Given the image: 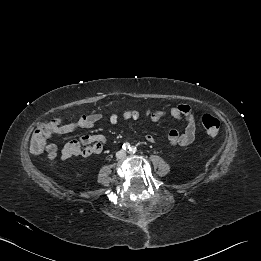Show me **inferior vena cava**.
Here are the masks:
<instances>
[{"label":"inferior vena cava","mask_w":261,"mask_h":261,"mask_svg":"<svg viewBox=\"0 0 261 261\" xmlns=\"http://www.w3.org/2000/svg\"><path fill=\"white\" fill-rule=\"evenodd\" d=\"M125 156H126V152L123 151V150L116 152V158L117 159H123Z\"/></svg>","instance_id":"1"}]
</instances>
